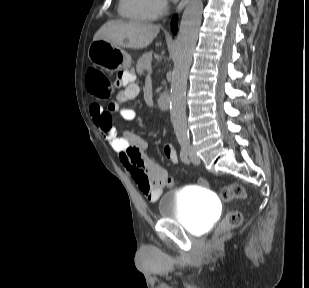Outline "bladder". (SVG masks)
Instances as JSON below:
<instances>
[{
  "label": "bladder",
  "instance_id": "obj_1",
  "mask_svg": "<svg viewBox=\"0 0 309 288\" xmlns=\"http://www.w3.org/2000/svg\"><path fill=\"white\" fill-rule=\"evenodd\" d=\"M157 201L160 218L176 219L195 233L209 229L219 209V202L203 186L169 190Z\"/></svg>",
  "mask_w": 309,
  "mask_h": 288
}]
</instances>
